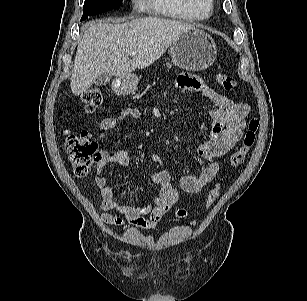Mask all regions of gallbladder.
<instances>
[{"instance_id": "1", "label": "gallbladder", "mask_w": 307, "mask_h": 301, "mask_svg": "<svg viewBox=\"0 0 307 301\" xmlns=\"http://www.w3.org/2000/svg\"><path fill=\"white\" fill-rule=\"evenodd\" d=\"M110 78H111V75L104 72V73H101L94 81L95 85L96 86H104L106 85L107 83H109L110 81Z\"/></svg>"}]
</instances>
